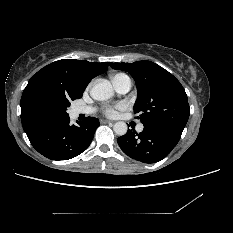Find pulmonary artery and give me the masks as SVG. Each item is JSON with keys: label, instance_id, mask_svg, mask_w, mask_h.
Instances as JSON below:
<instances>
[{"label": "pulmonary artery", "instance_id": "1", "mask_svg": "<svg viewBox=\"0 0 233 233\" xmlns=\"http://www.w3.org/2000/svg\"><path fill=\"white\" fill-rule=\"evenodd\" d=\"M114 86L120 93H127L132 86L131 79L128 76H122L118 80L114 82ZM93 112V109L89 107H75L72 109V113L74 115H80V114H91ZM144 126L142 124L138 125L137 130L142 131Z\"/></svg>", "mask_w": 233, "mask_h": 233}]
</instances>
